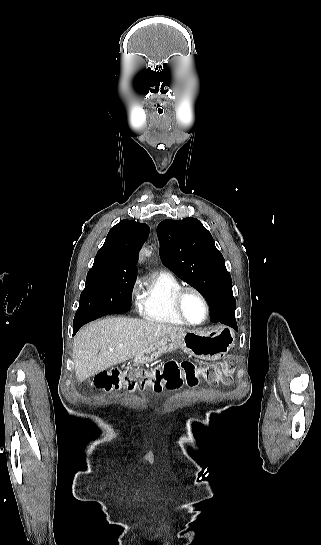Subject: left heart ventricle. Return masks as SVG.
Returning a JSON list of instances; mask_svg holds the SVG:
<instances>
[{
	"label": "left heart ventricle",
	"mask_w": 321,
	"mask_h": 545,
	"mask_svg": "<svg viewBox=\"0 0 321 545\" xmlns=\"http://www.w3.org/2000/svg\"><path fill=\"white\" fill-rule=\"evenodd\" d=\"M181 310L184 316L191 322H199L205 314L204 305L197 294L186 292L181 301Z\"/></svg>",
	"instance_id": "b2bd125f"
}]
</instances>
